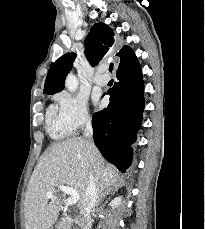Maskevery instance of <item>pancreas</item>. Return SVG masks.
I'll return each instance as SVG.
<instances>
[{"mask_svg":"<svg viewBox=\"0 0 205 229\" xmlns=\"http://www.w3.org/2000/svg\"><path fill=\"white\" fill-rule=\"evenodd\" d=\"M56 229H69V225L63 220L57 225Z\"/></svg>","mask_w":205,"mask_h":229,"instance_id":"1","label":"pancreas"}]
</instances>
